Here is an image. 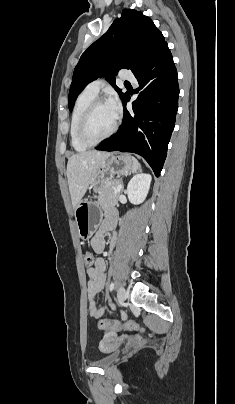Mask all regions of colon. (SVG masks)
<instances>
[{
    "instance_id": "colon-1",
    "label": "colon",
    "mask_w": 235,
    "mask_h": 404,
    "mask_svg": "<svg viewBox=\"0 0 235 404\" xmlns=\"http://www.w3.org/2000/svg\"><path fill=\"white\" fill-rule=\"evenodd\" d=\"M95 257L92 253L86 252L84 255V263L87 267L93 266L95 263ZM99 328H107V327H112L116 328L118 330L120 329H128V330H143V328L136 322H121L119 324H115L111 321L100 319L98 322Z\"/></svg>"
}]
</instances>
